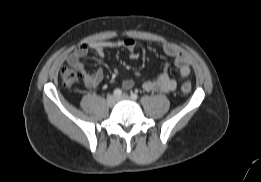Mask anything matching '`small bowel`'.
I'll list each match as a JSON object with an SVG mask.
<instances>
[{
	"instance_id": "1",
	"label": "small bowel",
	"mask_w": 261,
	"mask_h": 182,
	"mask_svg": "<svg viewBox=\"0 0 261 182\" xmlns=\"http://www.w3.org/2000/svg\"><path fill=\"white\" fill-rule=\"evenodd\" d=\"M159 46L167 56L174 60V64L178 68L180 78H188L191 73L188 56L171 44L161 43ZM115 48L126 49L131 59H137L139 57L136 40L133 38H126L116 41H97L90 42L88 44H82L67 56L66 61L71 67L76 69L81 74L83 83L87 88H95L102 82L104 77L103 72L101 69L88 72L84 63L82 62V59L87 55L89 49H93L98 58H103L107 49ZM167 68L168 65L166 66V69L154 80L145 81L142 84V88L148 92L173 91L176 88L177 83L169 76ZM133 86L134 81L131 79H126L122 83V87L126 90L131 89Z\"/></svg>"
}]
</instances>
